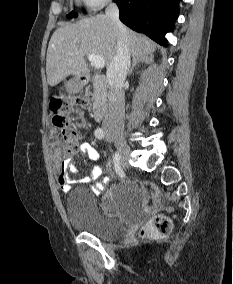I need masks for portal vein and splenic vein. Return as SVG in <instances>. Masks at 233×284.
I'll use <instances>...</instances> for the list:
<instances>
[{"instance_id": "18ae733b", "label": "portal vein and splenic vein", "mask_w": 233, "mask_h": 284, "mask_svg": "<svg viewBox=\"0 0 233 284\" xmlns=\"http://www.w3.org/2000/svg\"><path fill=\"white\" fill-rule=\"evenodd\" d=\"M88 59L91 62V64L97 69H102L105 66L104 59L98 55L89 54Z\"/></svg>"}]
</instances>
